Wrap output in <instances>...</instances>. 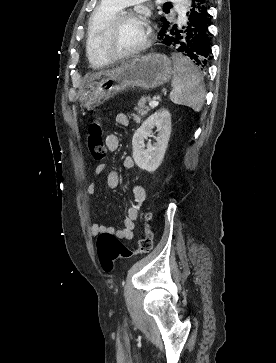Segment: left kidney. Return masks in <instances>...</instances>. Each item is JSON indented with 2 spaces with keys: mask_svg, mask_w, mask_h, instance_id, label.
<instances>
[{
  "mask_svg": "<svg viewBox=\"0 0 276 363\" xmlns=\"http://www.w3.org/2000/svg\"><path fill=\"white\" fill-rule=\"evenodd\" d=\"M154 127L158 132L156 143L152 145L149 142L145 146L144 140L151 135ZM170 134L171 115L166 109L156 111L142 123L132 138L133 159L140 169L150 173L156 171L164 158Z\"/></svg>",
  "mask_w": 276,
  "mask_h": 363,
  "instance_id": "1",
  "label": "left kidney"
}]
</instances>
